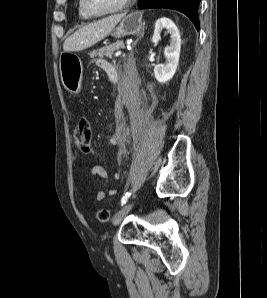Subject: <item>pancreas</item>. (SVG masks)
<instances>
[{
	"label": "pancreas",
	"mask_w": 267,
	"mask_h": 298,
	"mask_svg": "<svg viewBox=\"0 0 267 298\" xmlns=\"http://www.w3.org/2000/svg\"><path fill=\"white\" fill-rule=\"evenodd\" d=\"M123 46H124L123 41H117V42H115L113 44L106 45V46H104L102 48H99V49H97L95 51H92V52H90L89 55L91 57H95L97 55H99L101 57H103V56H105V57H111L116 50H118L119 48H122Z\"/></svg>",
	"instance_id": "pancreas-1"
}]
</instances>
